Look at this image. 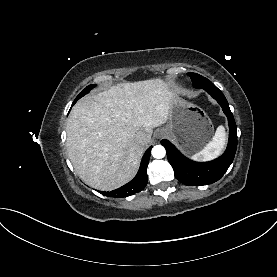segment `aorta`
<instances>
[{"label":"aorta","instance_id":"aorta-1","mask_svg":"<svg viewBox=\"0 0 277 277\" xmlns=\"http://www.w3.org/2000/svg\"><path fill=\"white\" fill-rule=\"evenodd\" d=\"M166 150L162 145H156L152 148V156L156 159H161L165 156Z\"/></svg>","mask_w":277,"mask_h":277}]
</instances>
